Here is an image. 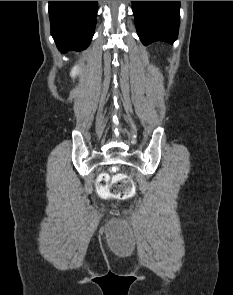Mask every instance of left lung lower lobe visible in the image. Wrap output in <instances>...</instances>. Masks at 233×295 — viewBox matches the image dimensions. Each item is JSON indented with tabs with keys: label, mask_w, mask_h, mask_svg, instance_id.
<instances>
[{
	"label": "left lung lower lobe",
	"mask_w": 233,
	"mask_h": 295,
	"mask_svg": "<svg viewBox=\"0 0 233 295\" xmlns=\"http://www.w3.org/2000/svg\"><path fill=\"white\" fill-rule=\"evenodd\" d=\"M180 1H132L138 36L144 45L169 44L178 37Z\"/></svg>",
	"instance_id": "obj_1"
}]
</instances>
